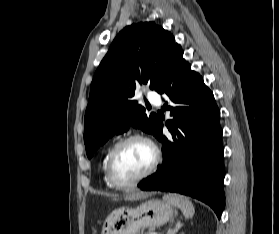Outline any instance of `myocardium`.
<instances>
[{
    "label": "myocardium",
    "instance_id": "f54148a6",
    "mask_svg": "<svg viewBox=\"0 0 279 234\" xmlns=\"http://www.w3.org/2000/svg\"><path fill=\"white\" fill-rule=\"evenodd\" d=\"M132 141H141V142H144L147 145H149L153 151V160H152L150 166L146 169V171L144 173H142L140 176H138L137 178H135L131 181H128V182H119V181H117V179L114 177V174H113L114 161H115L116 156L119 153V151L126 144H128ZM160 161H161V153H160V150L158 149V147L155 145V143L143 135L133 134V135L127 136L126 138L119 141L111 150L110 155L107 160V164H106V176H107L109 183L112 185V187L117 188V189H127V188H130V187H133V186L139 184L140 182H142L143 180L148 178L156 170Z\"/></svg>",
    "mask_w": 279,
    "mask_h": 234
}]
</instances>
